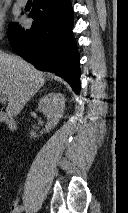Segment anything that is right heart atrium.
I'll use <instances>...</instances> for the list:
<instances>
[{
	"instance_id": "obj_1",
	"label": "right heart atrium",
	"mask_w": 128,
	"mask_h": 213,
	"mask_svg": "<svg viewBox=\"0 0 128 213\" xmlns=\"http://www.w3.org/2000/svg\"><path fill=\"white\" fill-rule=\"evenodd\" d=\"M6 26V16L4 12L0 9V39L4 37Z\"/></svg>"
}]
</instances>
